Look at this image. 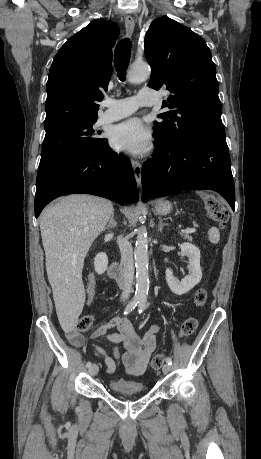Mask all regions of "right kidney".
I'll list each match as a JSON object with an SVG mask.
<instances>
[{
    "label": "right kidney",
    "instance_id": "obj_1",
    "mask_svg": "<svg viewBox=\"0 0 261 459\" xmlns=\"http://www.w3.org/2000/svg\"><path fill=\"white\" fill-rule=\"evenodd\" d=\"M108 265V257L104 252L98 253L94 258V268L96 273L103 274Z\"/></svg>",
    "mask_w": 261,
    "mask_h": 459
}]
</instances>
